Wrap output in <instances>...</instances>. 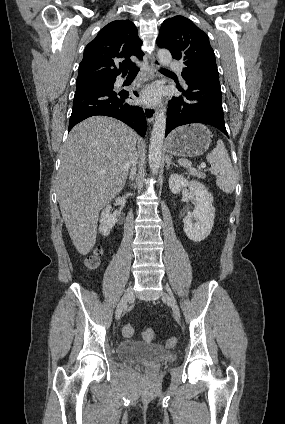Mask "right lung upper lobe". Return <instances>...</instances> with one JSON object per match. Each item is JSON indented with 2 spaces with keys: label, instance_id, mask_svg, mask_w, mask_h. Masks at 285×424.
<instances>
[{
  "label": "right lung upper lobe",
  "instance_id": "cb5924a9",
  "mask_svg": "<svg viewBox=\"0 0 285 424\" xmlns=\"http://www.w3.org/2000/svg\"><path fill=\"white\" fill-rule=\"evenodd\" d=\"M141 44L133 22L116 20L107 24L86 46L76 84L115 81L118 75L124 76L125 64L132 63L130 56L142 59Z\"/></svg>",
  "mask_w": 285,
  "mask_h": 424
}]
</instances>
